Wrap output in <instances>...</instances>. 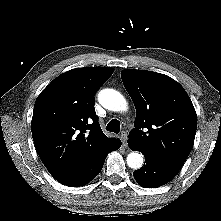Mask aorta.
<instances>
[{
    "label": "aorta",
    "instance_id": "1",
    "mask_svg": "<svg viewBox=\"0 0 221 221\" xmlns=\"http://www.w3.org/2000/svg\"><path fill=\"white\" fill-rule=\"evenodd\" d=\"M98 101L104 108L114 112L126 111L128 108L123 95L114 89L101 90L98 94ZM126 161L130 168L136 170L142 167L144 158L139 152H131L128 154Z\"/></svg>",
    "mask_w": 221,
    "mask_h": 221
}]
</instances>
